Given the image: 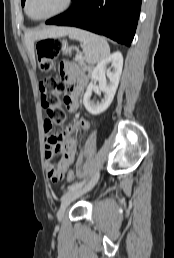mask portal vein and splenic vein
Returning <instances> with one entry per match:
<instances>
[{"label": "portal vein and splenic vein", "instance_id": "obj_1", "mask_svg": "<svg viewBox=\"0 0 174 258\" xmlns=\"http://www.w3.org/2000/svg\"><path fill=\"white\" fill-rule=\"evenodd\" d=\"M76 58L77 59H83V57L81 55H78Z\"/></svg>", "mask_w": 174, "mask_h": 258}]
</instances>
